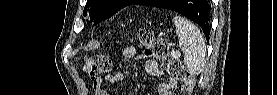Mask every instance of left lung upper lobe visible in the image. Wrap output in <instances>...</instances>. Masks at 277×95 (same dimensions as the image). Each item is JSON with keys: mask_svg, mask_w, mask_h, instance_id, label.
<instances>
[{"mask_svg": "<svg viewBox=\"0 0 277 95\" xmlns=\"http://www.w3.org/2000/svg\"><path fill=\"white\" fill-rule=\"evenodd\" d=\"M135 0H87L84 15L88 16L94 24L108 19L122 8L131 5ZM177 0H161L157 7L167 8Z\"/></svg>", "mask_w": 277, "mask_h": 95, "instance_id": "obj_1", "label": "left lung upper lobe"}]
</instances>
